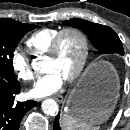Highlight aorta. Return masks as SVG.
Returning a JSON list of instances; mask_svg holds the SVG:
<instances>
[{"instance_id":"aorta-1","label":"aorta","mask_w":130,"mask_h":130,"mask_svg":"<svg viewBox=\"0 0 130 130\" xmlns=\"http://www.w3.org/2000/svg\"><path fill=\"white\" fill-rule=\"evenodd\" d=\"M32 67L34 70H40V65L36 59L33 60ZM41 108L45 114L50 115V116H55L59 111L58 104L53 99L44 100L42 102Z\"/></svg>"}]
</instances>
